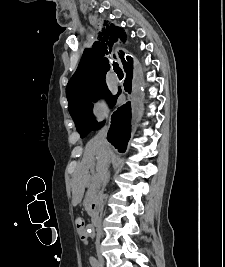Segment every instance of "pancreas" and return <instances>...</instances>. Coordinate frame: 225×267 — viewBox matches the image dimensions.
<instances>
[{
    "mask_svg": "<svg viewBox=\"0 0 225 267\" xmlns=\"http://www.w3.org/2000/svg\"><path fill=\"white\" fill-rule=\"evenodd\" d=\"M95 190H96V185L94 184H90L89 185V188H88V192L86 194V199L84 201V205L85 207L88 206V203L90 201V199L93 197L94 193H95Z\"/></svg>",
    "mask_w": 225,
    "mask_h": 267,
    "instance_id": "cf45deb5",
    "label": "pancreas"
}]
</instances>
